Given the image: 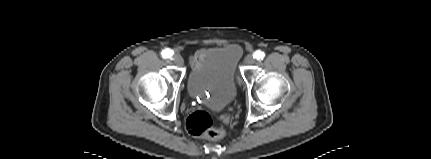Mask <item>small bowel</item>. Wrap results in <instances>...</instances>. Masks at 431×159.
I'll use <instances>...</instances> for the list:
<instances>
[{"instance_id":"obj_1","label":"small bowel","mask_w":431,"mask_h":159,"mask_svg":"<svg viewBox=\"0 0 431 159\" xmlns=\"http://www.w3.org/2000/svg\"><path fill=\"white\" fill-rule=\"evenodd\" d=\"M204 55H205V51H203V50L197 52L192 59L193 65L194 66L197 65L203 59Z\"/></svg>"}]
</instances>
